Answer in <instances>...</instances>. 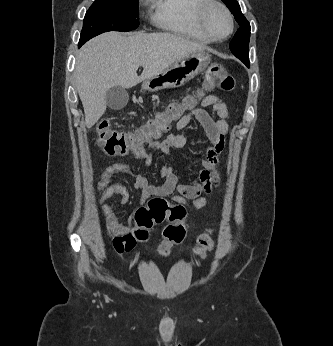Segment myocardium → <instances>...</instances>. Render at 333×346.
<instances>
[{
	"mask_svg": "<svg viewBox=\"0 0 333 346\" xmlns=\"http://www.w3.org/2000/svg\"><path fill=\"white\" fill-rule=\"evenodd\" d=\"M218 8L220 9L227 17L230 27L228 32L222 36V37H216L212 31L210 30L209 26H208V16L210 14V12L215 9ZM198 21L200 24V27L202 28V30L212 39V40H223V39H227L230 37V35L233 33L234 31V19L233 16L231 14V12L229 11V9L220 1L218 0H207L206 3H204L203 5H201L199 12H198Z\"/></svg>",
	"mask_w": 333,
	"mask_h": 346,
	"instance_id": "myocardium-1",
	"label": "myocardium"
}]
</instances>
